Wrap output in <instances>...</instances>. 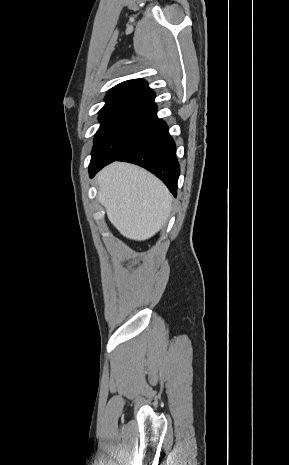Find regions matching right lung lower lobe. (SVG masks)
Returning a JSON list of instances; mask_svg holds the SVG:
<instances>
[{
  "label": "right lung lower lobe",
  "instance_id": "98d812e1",
  "mask_svg": "<svg viewBox=\"0 0 289 465\" xmlns=\"http://www.w3.org/2000/svg\"><path fill=\"white\" fill-rule=\"evenodd\" d=\"M116 160L134 163L149 170L160 178L176 197L180 166L176 157L175 142L169 135L164 121L157 120L135 144L113 161ZM113 161L90 162V177Z\"/></svg>",
  "mask_w": 289,
  "mask_h": 465
}]
</instances>
